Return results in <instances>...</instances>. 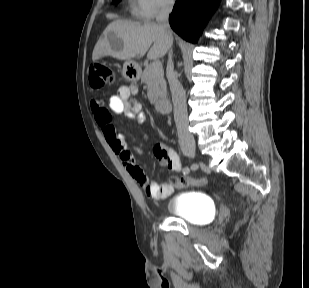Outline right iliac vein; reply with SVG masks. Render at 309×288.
Here are the masks:
<instances>
[{"label":"right iliac vein","instance_id":"63e3f726","mask_svg":"<svg viewBox=\"0 0 309 288\" xmlns=\"http://www.w3.org/2000/svg\"><path fill=\"white\" fill-rule=\"evenodd\" d=\"M183 152H184L185 155L191 156V157H194V156L197 155L195 147H185V148H183Z\"/></svg>","mask_w":309,"mask_h":288}]
</instances>
